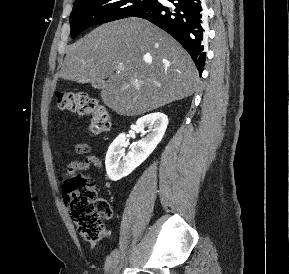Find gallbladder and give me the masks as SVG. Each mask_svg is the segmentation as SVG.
<instances>
[{"label": "gallbladder", "instance_id": "gallbladder-1", "mask_svg": "<svg viewBox=\"0 0 289 274\" xmlns=\"http://www.w3.org/2000/svg\"><path fill=\"white\" fill-rule=\"evenodd\" d=\"M92 86L96 89H101V83H94Z\"/></svg>", "mask_w": 289, "mask_h": 274}]
</instances>
